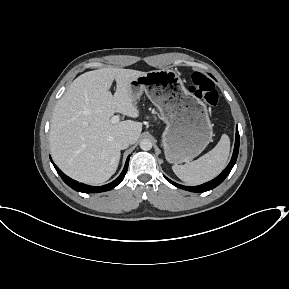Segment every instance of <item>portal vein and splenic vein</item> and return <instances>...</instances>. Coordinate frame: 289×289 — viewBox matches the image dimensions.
Here are the masks:
<instances>
[{"label": "portal vein and splenic vein", "mask_w": 289, "mask_h": 289, "mask_svg": "<svg viewBox=\"0 0 289 289\" xmlns=\"http://www.w3.org/2000/svg\"><path fill=\"white\" fill-rule=\"evenodd\" d=\"M119 120H120L119 115H114V116L111 118V122H112L113 124L118 123Z\"/></svg>", "instance_id": "obj_1"}]
</instances>
